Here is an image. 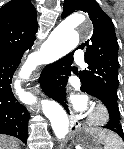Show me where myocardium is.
I'll list each match as a JSON object with an SVG mask.
<instances>
[{"mask_svg":"<svg viewBox=\"0 0 124 149\" xmlns=\"http://www.w3.org/2000/svg\"><path fill=\"white\" fill-rule=\"evenodd\" d=\"M110 119V112L102 102L94 103L87 118V123L92 127H103Z\"/></svg>","mask_w":124,"mask_h":149,"instance_id":"obj_1","label":"myocardium"}]
</instances>
